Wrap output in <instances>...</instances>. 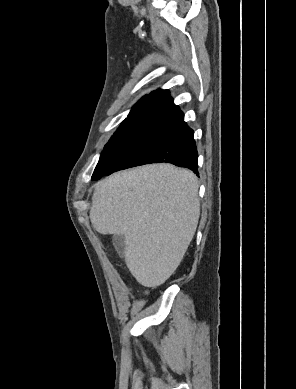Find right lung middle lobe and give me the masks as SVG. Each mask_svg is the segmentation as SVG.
Here are the masks:
<instances>
[{"instance_id": "dd1d6c3e", "label": "right lung middle lobe", "mask_w": 296, "mask_h": 389, "mask_svg": "<svg viewBox=\"0 0 296 389\" xmlns=\"http://www.w3.org/2000/svg\"><path fill=\"white\" fill-rule=\"evenodd\" d=\"M180 121L144 116L126 119L105 145L95 173L141 165L154 145Z\"/></svg>"}]
</instances>
